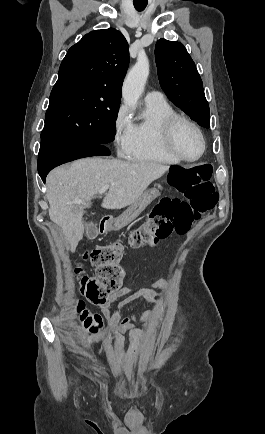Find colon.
Wrapping results in <instances>:
<instances>
[{
	"instance_id": "1",
	"label": "colon",
	"mask_w": 265,
	"mask_h": 434,
	"mask_svg": "<svg viewBox=\"0 0 265 434\" xmlns=\"http://www.w3.org/2000/svg\"><path fill=\"white\" fill-rule=\"evenodd\" d=\"M166 171V177H171V189H181L185 199H160L143 224L131 231L124 240L97 246L87 254L86 260L98 269L96 276H79L81 295L89 303L103 304L121 288L125 275L121 261L127 246H151L175 234L184 235L201 214L213 211L217 206L219 194L211 183L213 169L210 164H172ZM81 266L83 263L75 267L78 274ZM79 307L81 312L75 319L85 331L78 336L82 340L81 344H85L87 335H95L96 327H101L103 321L98 314H88L82 301H79ZM75 328H79V325H75Z\"/></svg>"
}]
</instances>
